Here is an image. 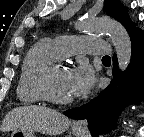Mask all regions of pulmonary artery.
Returning <instances> with one entry per match:
<instances>
[{
    "label": "pulmonary artery",
    "instance_id": "obj_1",
    "mask_svg": "<svg viewBox=\"0 0 144 137\" xmlns=\"http://www.w3.org/2000/svg\"><path fill=\"white\" fill-rule=\"evenodd\" d=\"M52 44L58 57L79 52L104 55L109 53L106 41L80 36H59L53 39Z\"/></svg>",
    "mask_w": 144,
    "mask_h": 137
}]
</instances>
